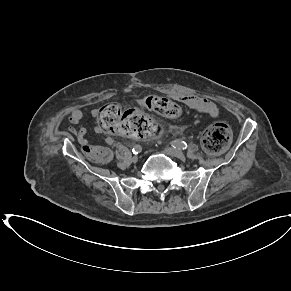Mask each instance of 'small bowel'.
Returning <instances> with one entry per match:
<instances>
[{"instance_id": "1", "label": "small bowel", "mask_w": 291, "mask_h": 291, "mask_svg": "<svg viewBox=\"0 0 291 291\" xmlns=\"http://www.w3.org/2000/svg\"><path fill=\"white\" fill-rule=\"evenodd\" d=\"M179 100L189 108L199 113L205 114L211 118H216L219 115V109L217 105L208 98L196 95H182L179 97ZM95 114L96 111H92V115ZM83 118L84 113L81 110L76 109L70 114L68 121L71 124L69 131L76 136L80 145L85 146L88 144L87 129L84 127L76 128V126L83 120ZM95 131L99 133L100 129L96 128ZM106 142L108 144H112L113 139L107 137Z\"/></svg>"}]
</instances>
